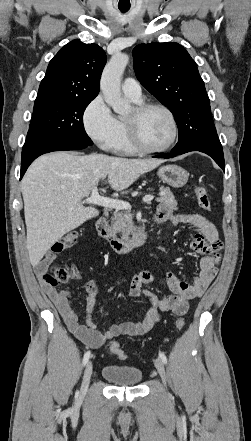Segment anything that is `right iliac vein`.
Returning <instances> with one entry per match:
<instances>
[{
  "mask_svg": "<svg viewBox=\"0 0 251 441\" xmlns=\"http://www.w3.org/2000/svg\"><path fill=\"white\" fill-rule=\"evenodd\" d=\"M92 371H93V365H92V362L89 361L86 365V368H85L84 374H83L82 385H81V390H80V398L81 399L86 395V392H87V389H88V386L90 383Z\"/></svg>",
  "mask_w": 251,
  "mask_h": 441,
  "instance_id": "63e3f726",
  "label": "right iliac vein"
}]
</instances>
